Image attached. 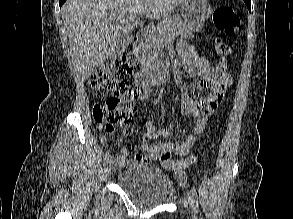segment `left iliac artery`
Listing matches in <instances>:
<instances>
[{
    "mask_svg": "<svg viewBox=\"0 0 293 219\" xmlns=\"http://www.w3.org/2000/svg\"><path fill=\"white\" fill-rule=\"evenodd\" d=\"M190 193L192 194V196L194 198L198 199L197 191H196V188L194 186H192ZM200 219H203L202 214H200Z\"/></svg>",
    "mask_w": 293,
    "mask_h": 219,
    "instance_id": "left-iliac-artery-1",
    "label": "left iliac artery"
}]
</instances>
